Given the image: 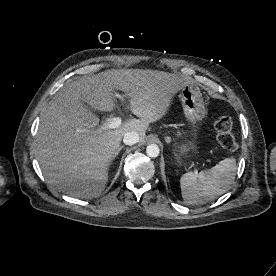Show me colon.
Segmentation results:
<instances>
[{
	"instance_id": "5ec220e1",
	"label": "colon",
	"mask_w": 276,
	"mask_h": 276,
	"mask_svg": "<svg viewBox=\"0 0 276 276\" xmlns=\"http://www.w3.org/2000/svg\"><path fill=\"white\" fill-rule=\"evenodd\" d=\"M214 127L217 132L219 144L229 150L236 151L239 147L238 141L232 133V120L226 115H220L214 119Z\"/></svg>"
}]
</instances>
